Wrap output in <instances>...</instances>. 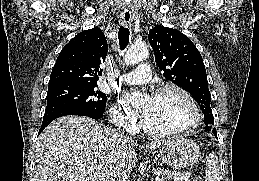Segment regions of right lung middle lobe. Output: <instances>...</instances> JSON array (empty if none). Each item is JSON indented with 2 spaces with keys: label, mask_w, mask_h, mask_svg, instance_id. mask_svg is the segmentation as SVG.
I'll return each instance as SVG.
<instances>
[{
  "label": "right lung middle lobe",
  "mask_w": 259,
  "mask_h": 181,
  "mask_svg": "<svg viewBox=\"0 0 259 181\" xmlns=\"http://www.w3.org/2000/svg\"><path fill=\"white\" fill-rule=\"evenodd\" d=\"M97 85L65 83L48 87L47 107L43 120L71 109L104 113L106 95L96 89Z\"/></svg>",
  "instance_id": "1"
}]
</instances>
